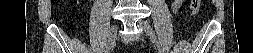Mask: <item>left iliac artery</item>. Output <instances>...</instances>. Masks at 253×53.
Wrapping results in <instances>:
<instances>
[{
    "label": "left iliac artery",
    "mask_w": 253,
    "mask_h": 53,
    "mask_svg": "<svg viewBox=\"0 0 253 53\" xmlns=\"http://www.w3.org/2000/svg\"><path fill=\"white\" fill-rule=\"evenodd\" d=\"M153 45L156 46V51L158 53H163V45L161 41H154Z\"/></svg>",
    "instance_id": "obj_1"
}]
</instances>
